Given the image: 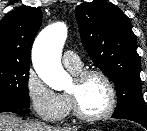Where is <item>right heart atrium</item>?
<instances>
[{
    "instance_id": "obj_1",
    "label": "right heart atrium",
    "mask_w": 147,
    "mask_h": 131,
    "mask_svg": "<svg viewBox=\"0 0 147 131\" xmlns=\"http://www.w3.org/2000/svg\"><path fill=\"white\" fill-rule=\"evenodd\" d=\"M30 105L36 115L47 122H58L68 112L65 97L47 86L39 75L30 69L25 82Z\"/></svg>"
}]
</instances>
